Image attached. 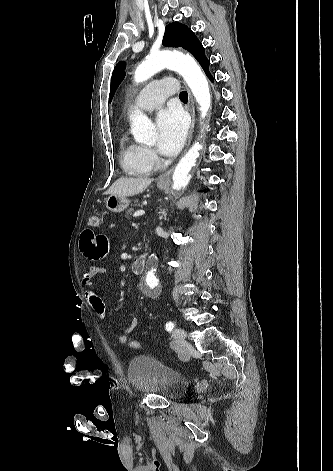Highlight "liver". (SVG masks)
I'll list each match as a JSON object with an SVG mask.
<instances>
[{
  "instance_id": "liver-1",
  "label": "liver",
  "mask_w": 333,
  "mask_h": 471,
  "mask_svg": "<svg viewBox=\"0 0 333 471\" xmlns=\"http://www.w3.org/2000/svg\"><path fill=\"white\" fill-rule=\"evenodd\" d=\"M153 181L151 178L121 177L106 191V194L133 196L142 193Z\"/></svg>"
}]
</instances>
